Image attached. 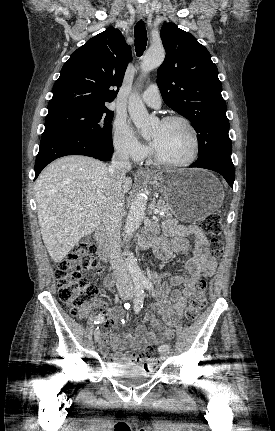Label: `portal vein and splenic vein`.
Segmentation results:
<instances>
[{"instance_id":"18ae733b","label":"portal vein and splenic vein","mask_w":275,"mask_h":431,"mask_svg":"<svg viewBox=\"0 0 275 431\" xmlns=\"http://www.w3.org/2000/svg\"><path fill=\"white\" fill-rule=\"evenodd\" d=\"M82 210H83L84 214H86L88 212L86 209H82ZM153 213L154 214H158L159 213V209H154Z\"/></svg>"}]
</instances>
